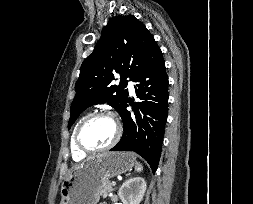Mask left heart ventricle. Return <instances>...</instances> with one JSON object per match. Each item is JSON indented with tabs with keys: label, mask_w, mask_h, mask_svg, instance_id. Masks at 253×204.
I'll return each mask as SVG.
<instances>
[{
	"label": "left heart ventricle",
	"mask_w": 253,
	"mask_h": 204,
	"mask_svg": "<svg viewBox=\"0 0 253 204\" xmlns=\"http://www.w3.org/2000/svg\"><path fill=\"white\" fill-rule=\"evenodd\" d=\"M116 133L115 123L105 117L90 120L81 131L82 143L91 149L106 146Z\"/></svg>",
	"instance_id": "1"
}]
</instances>
